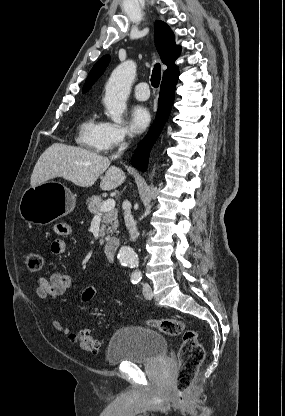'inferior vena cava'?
I'll use <instances>...</instances> for the list:
<instances>
[{"instance_id": "1", "label": "inferior vena cava", "mask_w": 285, "mask_h": 416, "mask_svg": "<svg viewBox=\"0 0 285 416\" xmlns=\"http://www.w3.org/2000/svg\"><path fill=\"white\" fill-rule=\"evenodd\" d=\"M127 144L123 142L122 146H120L118 150V154L116 156H111L112 160H116V158H119V154H122L123 150H126ZM122 208L124 210V220L126 224L127 230H129L130 238L131 240H136L138 236L137 228H136V222L131 214V204L130 202H123Z\"/></svg>"}]
</instances>
